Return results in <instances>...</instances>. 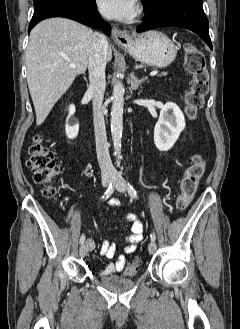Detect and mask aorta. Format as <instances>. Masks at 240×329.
Here are the masks:
<instances>
[{"instance_id": "762f6f07", "label": "aorta", "mask_w": 240, "mask_h": 329, "mask_svg": "<svg viewBox=\"0 0 240 329\" xmlns=\"http://www.w3.org/2000/svg\"><path fill=\"white\" fill-rule=\"evenodd\" d=\"M111 108V135L115 154H119L121 149V138L123 132V105L124 86L121 81H116L113 86Z\"/></svg>"}]
</instances>
